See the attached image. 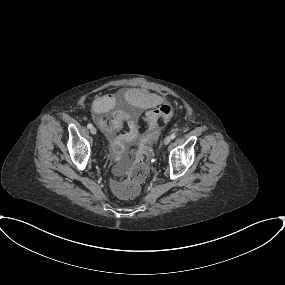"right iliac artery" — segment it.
Segmentation results:
<instances>
[{"mask_svg":"<svg viewBox=\"0 0 285 285\" xmlns=\"http://www.w3.org/2000/svg\"><path fill=\"white\" fill-rule=\"evenodd\" d=\"M87 127H88L89 129H91L92 124H91V123H88V124H87Z\"/></svg>","mask_w":285,"mask_h":285,"instance_id":"right-iliac-artery-1","label":"right iliac artery"}]
</instances>
